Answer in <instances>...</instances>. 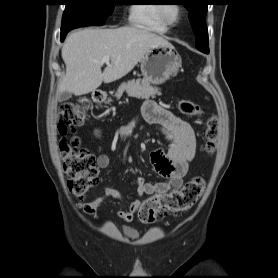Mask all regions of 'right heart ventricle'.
<instances>
[{"label": "right heart ventricle", "instance_id": "obj_1", "mask_svg": "<svg viewBox=\"0 0 278 278\" xmlns=\"http://www.w3.org/2000/svg\"><path fill=\"white\" fill-rule=\"evenodd\" d=\"M159 4H135L130 8V22L140 28L151 32L164 34L168 26L160 17Z\"/></svg>", "mask_w": 278, "mask_h": 278}]
</instances>
